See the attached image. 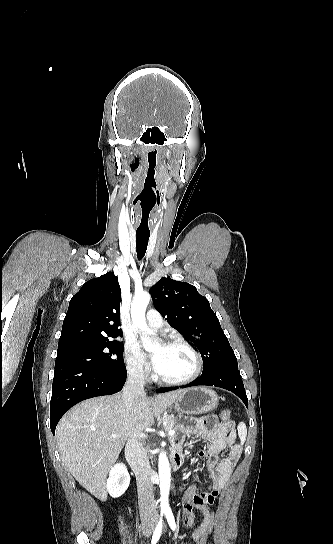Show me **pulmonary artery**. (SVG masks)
I'll return each mask as SVG.
<instances>
[{"mask_svg": "<svg viewBox=\"0 0 333 544\" xmlns=\"http://www.w3.org/2000/svg\"><path fill=\"white\" fill-rule=\"evenodd\" d=\"M147 324L152 329H162L164 326L163 319L158 311L151 309L147 312Z\"/></svg>", "mask_w": 333, "mask_h": 544, "instance_id": "1", "label": "pulmonary artery"}]
</instances>
